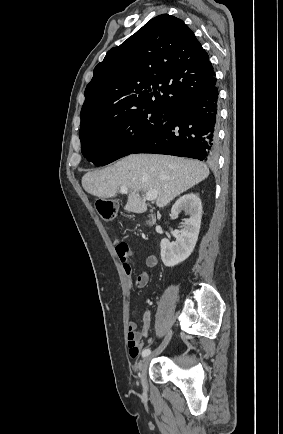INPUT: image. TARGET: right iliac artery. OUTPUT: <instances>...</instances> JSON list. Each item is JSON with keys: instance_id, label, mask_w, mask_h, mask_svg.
<instances>
[{"instance_id": "1", "label": "right iliac artery", "mask_w": 283, "mask_h": 434, "mask_svg": "<svg viewBox=\"0 0 283 434\" xmlns=\"http://www.w3.org/2000/svg\"><path fill=\"white\" fill-rule=\"evenodd\" d=\"M150 353H151V350L148 349V348H145V349L142 351V357H147Z\"/></svg>"}]
</instances>
